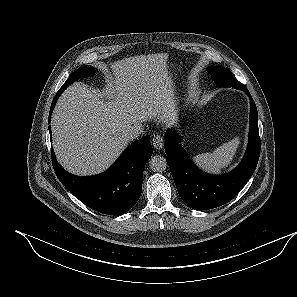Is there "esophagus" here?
<instances>
[{
	"label": "esophagus",
	"mask_w": 297,
	"mask_h": 297,
	"mask_svg": "<svg viewBox=\"0 0 297 297\" xmlns=\"http://www.w3.org/2000/svg\"><path fill=\"white\" fill-rule=\"evenodd\" d=\"M152 145L156 150H161L164 148V140L162 136L155 135L152 139Z\"/></svg>",
	"instance_id": "34e87169"
}]
</instances>
